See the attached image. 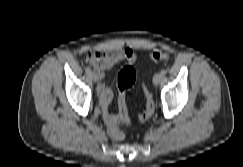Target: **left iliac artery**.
I'll return each mask as SVG.
<instances>
[{
	"mask_svg": "<svg viewBox=\"0 0 243 167\" xmlns=\"http://www.w3.org/2000/svg\"><path fill=\"white\" fill-rule=\"evenodd\" d=\"M167 73L165 69L161 70V74L164 76Z\"/></svg>",
	"mask_w": 243,
	"mask_h": 167,
	"instance_id": "left-iliac-artery-1",
	"label": "left iliac artery"
}]
</instances>
